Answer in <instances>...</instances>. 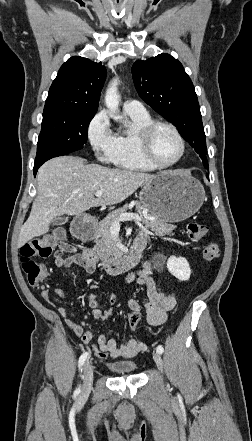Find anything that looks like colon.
<instances>
[{"instance_id":"5ec220e1","label":"colon","mask_w":252,"mask_h":441,"mask_svg":"<svg viewBox=\"0 0 252 441\" xmlns=\"http://www.w3.org/2000/svg\"><path fill=\"white\" fill-rule=\"evenodd\" d=\"M187 232L192 241H200L207 235L208 227L197 222H190L187 226ZM63 239V229L56 228L48 234L32 239L21 247V266L30 285L39 286L47 277L46 268L42 264L36 262L35 258H47L55 249H65L67 244L63 242ZM220 252V246L217 243L209 242L204 246L202 256L206 262H211L220 256ZM117 314L123 315L129 327L132 329L139 327L142 318L141 311L128 307L126 311L118 312L115 307L110 306L102 311L100 320H110ZM95 354L102 359L108 357V354L101 350H96Z\"/></svg>"}]
</instances>
